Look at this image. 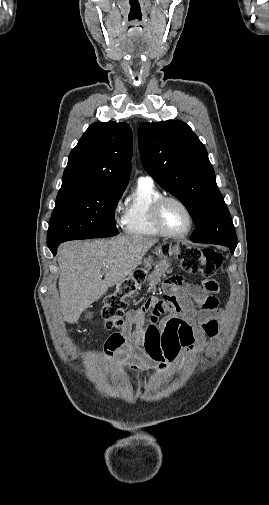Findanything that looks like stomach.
<instances>
[{
  "label": "stomach",
  "instance_id": "obj_1",
  "mask_svg": "<svg viewBox=\"0 0 269 505\" xmlns=\"http://www.w3.org/2000/svg\"><path fill=\"white\" fill-rule=\"evenodd\" d=\"M169 264L167 261H160L155 267L154 270L148 277L149 286L151 288H155L156 285L160 282V278L165 275V272L168 270Z\"/></svg>",
  "mask_w": 269,
  "mask_h": 505
}]
</instances>
